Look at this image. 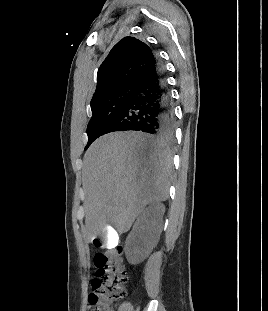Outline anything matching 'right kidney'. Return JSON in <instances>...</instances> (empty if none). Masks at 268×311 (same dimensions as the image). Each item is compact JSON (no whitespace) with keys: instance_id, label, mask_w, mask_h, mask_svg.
<instances>
[{"instance_id":"ca27d5eb","label":"right kidney","mask_w":268,"mask_h":311,"mask_svg":"<svg viewBox=\"0 0 268 311\" xmlns=\"http://www.w3.org/2000/svg\"><path fill=\"white\" fill-rule=\"evenodd\" d=\"M165 206L153 202L137 218L125 242V254L132 265L141 263L157 245L163 229Z\"/></svg>"}]
</instances>
